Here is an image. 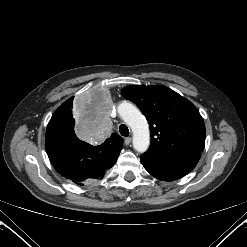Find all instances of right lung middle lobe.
I'll return each mask as SVG.
<instances>
[{"instance_id": "right-lung-middle-lobe-1", "label": "right lung middle lobe", "mask_w": 247, "mask_h": 247, "mask_svg": "<svg viewBox=\"0 0 247 247\" xmlns=\"http://www.w3.org/2000/svg\"><path fill=\"white\" fill-rule=\"evenodd\" d=\"M74 118L75 117L72 113V105H71L70 108L64 109L56 115L54 123L56 125H62L74 130V125H75Z\"/></svg>"}]
</instances>
